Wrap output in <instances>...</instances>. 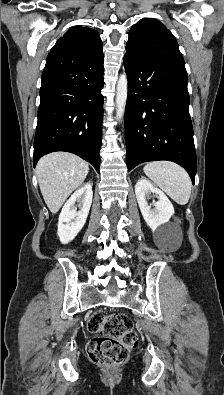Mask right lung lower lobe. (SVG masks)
Masks as SVG:
<instances>
[{"label": "right lung lower lobe", "mask_w": 224, "mask_h": 395, "mask_svg": "<svg viewBox=\"0 0 224 395\" xmlns=\"http://www.w3.org/2000/svg\"><path fill=\"white\" fill-rule=\"evenodd\" d=\"M103 55L88 57L66 42L50 51L42 73L33 164L55 151L74 153L99 173Z\"/></svg>", "instance_id": "1"}]
</instances>
